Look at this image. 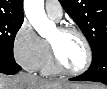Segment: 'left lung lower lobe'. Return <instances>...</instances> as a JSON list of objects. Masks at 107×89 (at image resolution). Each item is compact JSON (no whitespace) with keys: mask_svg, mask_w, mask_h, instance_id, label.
Here are the masks:
<instances>
[{"mask_svg":"<svg viewBox=\"0 0 107 89\" xmlns=\"http://www.w3.org/2000/svg\"><path fill=\"white\" fill-rule=\"evenodd\" d=\"M93 53V60L89 69L70 80L96 81L107 85V44L97 48Z\"/></svg>","mask_w":107,"mask_h":89,"instance_id":"obj_1","label":"left lung lower lobe"}]
</instances>
